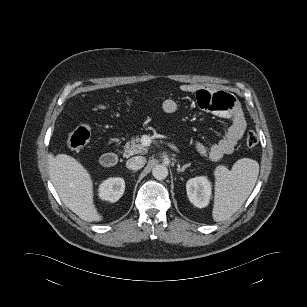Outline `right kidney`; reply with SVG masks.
<instances>
[{
	"label": "right kidney",
	"mask_w": 307,
	"mask_h": 307,
	"mask_svg": "<svg viewBox=\"0 0 307 307\" xmlns=\"http://www.w3.org/2000/svg\"><path fill=\"white\" fill-rule=\"evenodd\" d=\"M125 190V181L123 178L115 177L104 180L99 186V197L102 200L114 203L118 201Z\"/></svg>",
	"instance_id": "1"
}]
</instances>
